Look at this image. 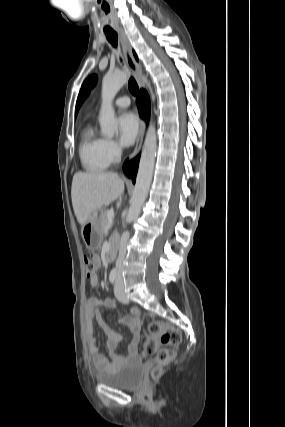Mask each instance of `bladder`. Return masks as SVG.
Listing matches in <instances>:
<instances>
[{
  "label": "bladder",
  "instance_id": "obj_1",
  "mask_svg": "<svg viewBox=\"0 0 285 427\" xmlns=\"http://www.w3.org/2000/svg\"><path fill=\"white\" fill-rule=\"evenodd\" d=\"M142 377V364L134 363L117 371L99 373L97 380L104 385L117 389H134L140 385Z\"/></svg>",
  "mask_w": 285,
  "mask_h": 427
}]
</instances>
